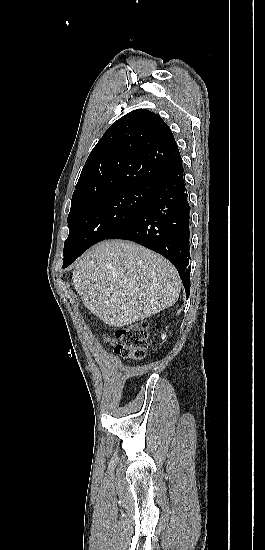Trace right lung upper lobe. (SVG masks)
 Wrapping results in <instances>:
<instances>
[{
  "label": "right lung upper lobe",
  "mask_w": 265,
  "mask_h": 550,
  "mask_svg": "<svg viewBox=\"0 0 265 550\" xmlns=\"http://www.w3.org/2000/svg\"><path fill=\"white\" fill-rule=\"evenodd\" d=\"M179 161L180 152L167 124L146 109L134 110L112 124L93 148L72 203L122 188L157 185Z\"/></svg>",
  "instance_id": "1"
}]
</instances>
